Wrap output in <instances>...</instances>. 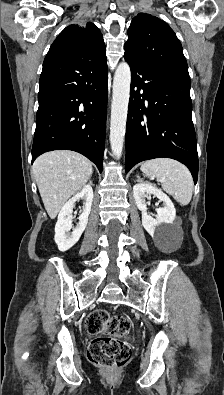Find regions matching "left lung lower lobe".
<instances>
[{
	"label": "left lung lower lobe",
	"instance_id": "left-lung-lower-lobe-1",
	"mask_svg": "<svg viewBox=\"0 0 224 395\" xmlns=\"http://www.w3.org/2000/svg\"><path fill=\"white\" fill-rule=\"evenodd\" d=\"M131 68L126 173L137 163L167 157L185 164L194 182L198 154L191 118L190 78L124 55Z\"/></svg>",
	"mask_w": 224,
	"mask_h": 395
}]
</instances>
